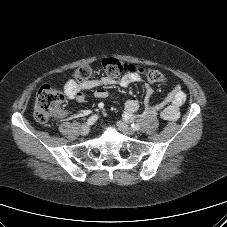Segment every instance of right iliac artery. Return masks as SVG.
Segmentation results:
<instances>
[{"mask_svg":"<svg viewBox=\"0 0 227 227\" xmlns=\"http://www.w3.org/2000/svg\"><path fill=\"white\" fill-rule=\"evenodd\" d=\"M98 119V116L95 114V115H92L91 117H89V119L87 120V124L88 125H92L96 122V120Z\"/></svg>","mask_w":227,"mask_h":227,"instance_id":"obj_1","label":"right iliac artery"}]
</instances>
